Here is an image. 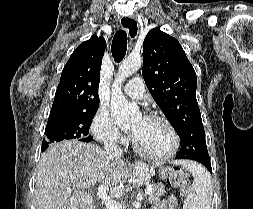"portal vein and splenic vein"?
Wrapping results in <instances>:
<instances>
[{"mask_svg":"<svg viewBox=\"0 0 253 209\" xmlns=\"http://www.w3.org/2000/svg\"><path fill=\"white\" fill-rule=\"evenodd\" d=\"M153 187L149 185L146 188V194H150L152 192ZM107 187L105 185H100L98 188L97 196L102 199L104 204L106 205L107 209H121L122 206L120 203L113 200L111 197H109L106 193Z\"/></svg>","mask_w":253,"mask_h":209,"instance_id":"portal-vein-and-splenic-vein-1","label":"portal vein and splenic vein"}]
</instances>
